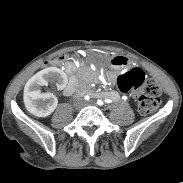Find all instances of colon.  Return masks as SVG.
<instances>
[{"mask_svg": "<svg viewBox=\"0 0 183 183\" xmlns=\"http://www.w3.org/2000/svg\"><path fill=\"white\" fill-rule=\"evenodd\" d=\"M113 63H123L122 58L109 57ZM65 61L64 55L56 56L52 62L61 64ZM117 89L126 93L131 90H139L138 108L142 114H150L155 112L161 104V88L159 84L144 75L139 69H132L122 73L117 80Z\"/></svg>", "mask_w": 183, "mask_h": 183, "instance_id": "obj_1", "label": "colon"}]
</instances>
